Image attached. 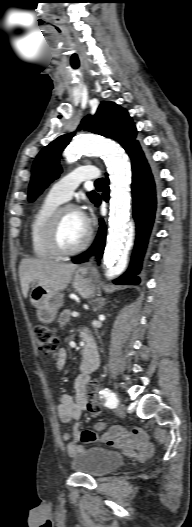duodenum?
I'll list each match as a JSON object with an SVG mask.
<instances>
[{"instance_id": "obj_1", "label": "duodenum", "mask_w": 192, "mask_h": 527, "mask_svg": "<svg viewBox=\"0 0 192 527\" xmlns=\"http://www.w3.org/2000/svg\"><path fill=\"white\" fill-rule=\"evenodd\" d=\"M82 358V370L85 372H92L96 368L97 360L95 351L92 346L88 343L85 344L83 349Z\"/></svg>"}]
</instances>
